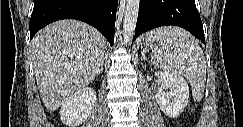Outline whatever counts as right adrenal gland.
<instances>
[{
    "label": "right adrenal gland",
    "instance_id": "1",
    "mask_svg": "<svg viewBox=\"0 0 243 127\" xmlns=\"http://www.w3.org/2000/svg\"><path fill=\"white\" fill-rule=\"evenodd\" d=\"M101 73H103V64H102L100 71H99V74H101Z\"/></svg>",
    "mask_w": 243,
    "mask_h": 127
}]
</instances>
